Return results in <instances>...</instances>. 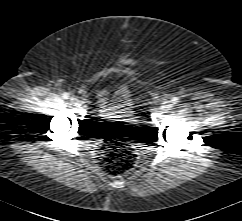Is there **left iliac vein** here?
<instances>
[{
	"instance_id": "4c4485c4",
	"label": "left iliac vein",
	"mask_w": 242,
	"mask_h": 221,
	"mask_svg": "<svg viewBox=\"0 0 242 221\" xmlns=\"http://www.w3.org/2000/svg\"><path fill=\"white\" fill-rule=\"evenodd\" d=\"M169 107H170V104L164 105V108H169Z\"/></svg>"
}]
</instances>
